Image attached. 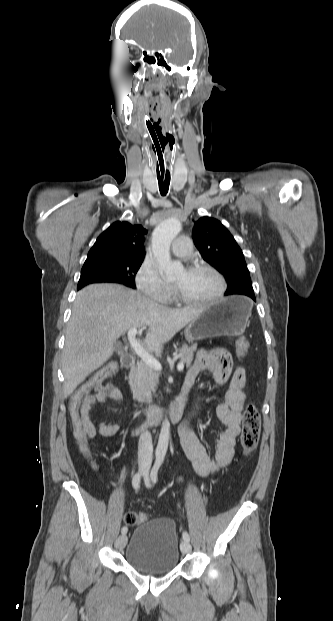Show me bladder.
<instances>
[{
	"label": "bladder",
	"instance_id": "obj_1",
	"mask_svg": "<svg viewBox=\"0 0 333 621\" xmlns=\"http://www.w3.org/2000/svg\"><path fill=\"white\" fill-rule=\"evenodd\" d=\"M180 556L179 537L175 522L169 518H153L133 531L125 550L126 562L148 574H166L174 570Z\"/></svg>",
	"mask_w": 333,
	"mask_h": 621
}]
</instances>
